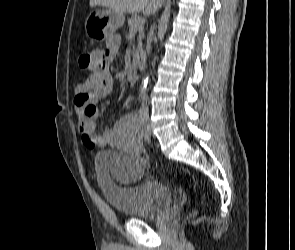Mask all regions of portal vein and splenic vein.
<instances>
[{
  "mask_svg": "<svg viewBox=\"0 0 295 250\" xmlns=\"http://www.w3.org/2000/svg\"><path fill=\"white\" fill-rule=\"evenodd\" d=\"M145 23V19L144 18H140L136 23H135V27H139L142 26Z\"/></svg>",
  "mask_w": 295,
  "mask_h": 250,
  "instance_id": "1",
  "label": "portal vein and splenic vein"
}]
</instances>
